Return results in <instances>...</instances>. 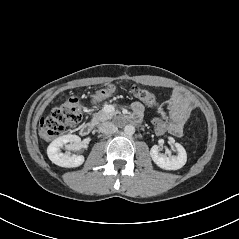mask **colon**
<instances>
[{"label": "colon", "mask_w": 239, "mask_h": 239, "mask_svg": "<svg viewBox=\"0 0 239 239\" xmlns=\"http://www.w3.org/2000/svg\"><path fill=\"white\" fill-rule=\"evenodd\" d=\"M129 90L134 97L149 107L155 108L157 106L156 98L150 91L135 84H130ZM82 118L83 105L76 97H70L41 120L40 134L44 139H52L63 133L67 128L78 124ZM149 119L157 135L164 136L169 132L171 118L163 109H153L149 114Z\"/></svg>", "instance_id": "obj_1"}]
</instances>
